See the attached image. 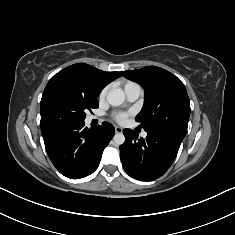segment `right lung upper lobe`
<instances>
[{"mask_svg":"<svg viewBox=\"0 0 235 235\" xmlns=\"http://www.w3.org/2000/svg\"><path fill=\"white\" fill-rule=\"evenodd\" d=\"M120 77L118 72H105L85 63L64 68L50 80H62L89 100H96L101 90Z\"/></svg>","mask_w":235,"mask_h":235,"instance_id":"cb5924a9","label":"right lung upper lobe"}]
</instances>
